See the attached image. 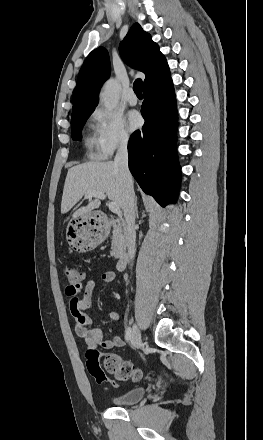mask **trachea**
Wrapping results in <instances>:
<instances>
[{
    "mask_svg": "<svg viewBox=\"0 0 263 440\" xmlns=\"http://www.w3.org/2000/svg\"><path fill=\"white\" fill-rule=\"evenodd\" d=\"M133 90L137 96H142V80L137 79L133 84Z\"/></svg>",
    "mask_w": 263,
    "mask_h": 440,
    "instance_id": "1",
    "label": "trachea"
}]
</instances>
